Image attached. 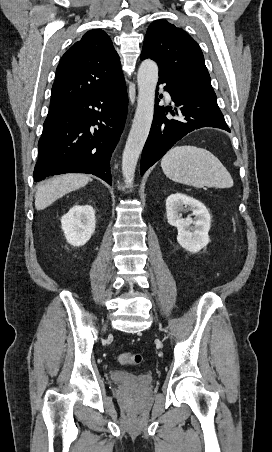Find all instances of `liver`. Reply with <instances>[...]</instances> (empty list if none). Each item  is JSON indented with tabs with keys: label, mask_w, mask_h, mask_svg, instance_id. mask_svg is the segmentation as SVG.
<instances>
[{
	"label": "liver",
	"mask_w": 272,
	"mask_h": 452,
	"mask_svg": "<svg viewBox=\"0 0 272 452\" xmlns=\"http://www.w3.org/2000/svg\"><path fill=\"white\" fill-rule=\"evenodd\" d=\"M91 180L86 174L68 173L41 184L35 194V207L43 210L67 193L84 187Z\"/></svg>",
	"instance_id": "obj_1"
}]
</instances>
